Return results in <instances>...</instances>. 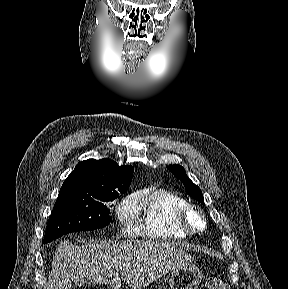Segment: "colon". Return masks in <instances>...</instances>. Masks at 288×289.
Instances as JSON below:
<instances>
[{"instance_id": "5ec220e1", "label": "colon", "mask_w": 288, "mask_h": 289, "mask_svg": "<svg viewBox=\"0 0 288 289\" xmlns=\"http://www.w3.org/2000/svg\"><path fill=\"white\" fill-rule=\"evenodd\" d=\"M207 289H230L226 280L219 276H209L206 281Z\"/></svg>"}]
</instances>
